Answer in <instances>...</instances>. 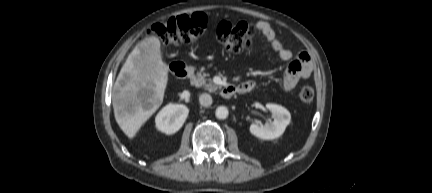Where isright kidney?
I'll return each mask as SVG.
<instances>
[{"label": "right kidney", "mask_w": 432, "mask_h": 193, "mask_svg": "<svg viewBox=\"0 0 432 193\" xmlns=\"http://www.w3.org/2000/svg\"><path fill=\"white\" fill-rule=\"evenodd\" d=\"M189 109L183 104H168L156 116V128L166 134L176 133L184 124Z\"/></svg>", "instance_id": "1"}]
</instances>
